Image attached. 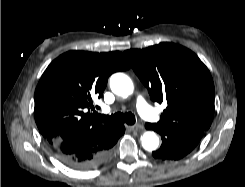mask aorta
<instances>
[{
  "mask_svg": "<svg viewBox=\"0 0 245 187\" xmlns=\"http://www.w3.org/2000/svg\"><path fill=\"white\" fill-rule=\"evenodd\" d=\"M110 88L116 95L128 97L133 93L132 80L123 73H115L110 77ZM141 143L145 150L154 151L159 146V138L154 132H145L141 137Z\"/></svg>",
  "mask_w": 245,
  "mask_h": 187,
  "instance_id": "obj_1",
  "label": "aorta"
}]
</instances>
